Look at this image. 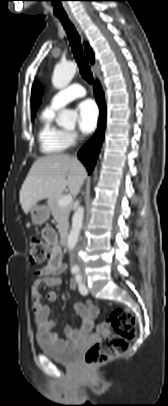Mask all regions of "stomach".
<instances>
[{
  "label": "stomach",
  "instance_id": "1",
  "mask_svg": "<svg viewBox=\"0 0 168 406\" xmlns=\"http://www.w3.org/2000/svg\"><path fill=\"white\" fill-rule=\"evenodd\" d=\"M31 220L33 224L41 225L50 217V209L46 205H34L30 210Z\"/></svg>",
  "mask_w": 168,
  "mask_h": 406
}]
</instances>
